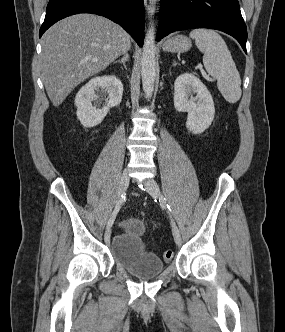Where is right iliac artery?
I'll return each mask as SVG.
<instances>
[{"label": "right iliac artery", "mask_w": 285, "mask_h": 332, "mask_svg": "<svg viewBox=\"0 0 285 332\" xmlns=\"http://www.w3.org/2000/svg\"><path fill=\"white\" fill-rule=\"evenodd\" d=\"M125 199H126V194L124 193V194H122L120 196L119 200L116 203V206H115V208L113 210V213H112L110 219L108 220L107 229L110 228L113 225L114 220H115V218L117 216V213L119 212L122 204L125 202Z\"/></svg>", "instance_id": "obj_1"}]
</instances>
